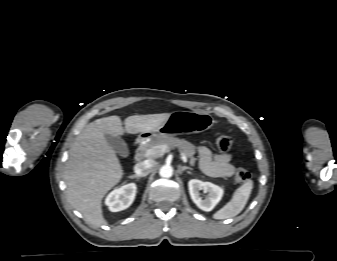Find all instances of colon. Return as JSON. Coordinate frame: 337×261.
Listing matches in <instances>:
<instances>
[{
    "label": "colon",
    "instance_id": "1",
    "mask_svg": "<svg viewBox=\"0 0 337 261\" xmlns=\"http://www.w3.org/2000/svg\"><path fill=\"white\" fill-rule=\"evenodd\" d=\"M233 144V140L228 135H219L216 137V146L221 151H228ZM250 179V173L245 169H239L235 173V180L238 183H245Z\"/></svg>",
    "mask_w": 337,
    "mask_h": 261
}]
</instances>
